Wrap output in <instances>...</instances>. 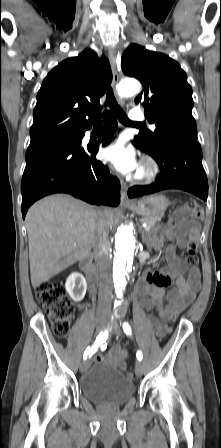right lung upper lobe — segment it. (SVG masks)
Instances as JSON below:
<instances>
[{
	"label": "right lung upper lobe",
	"instance_id": "right-lung-upper-lobe-1",
	"mask_svg": "<svg viewBox=\"0 0 221 448\" xmlns=\"http://www.w3.org/2000/svg\"><path fill=\"white\" fill-rule=\"evenodd\" d=\"M111 81L108 60L99 59L91 49L58 64L37 94L29 146L91 128L99 115L100 98Z\"/></svg>",
	"mask_w": 221,
	"mask_h": 448
}]
</instances>
